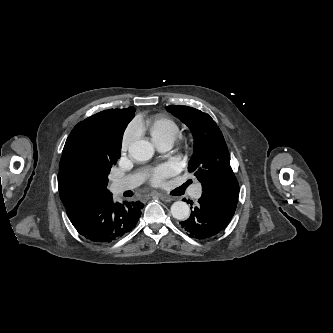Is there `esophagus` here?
<instances>
[{"mask_svg": "<svg viewBox=\"0 0 333 333\" xmlns=\"http://www.w3.org/2000/svg\"><path fill=\"white\" fill-rule=\"evenodd\" d=\"M159 197L164 202H171L173 200V197L164 194H160Z\"/></svg>", "mask_w": 333, "mask_h": 333, "instance_id": "obj_1", "label": "esophagus"}]
</instances>
